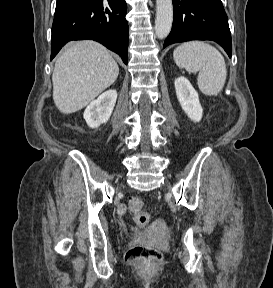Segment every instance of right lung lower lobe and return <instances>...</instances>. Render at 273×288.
<instances>
[{
  "mask_svg": "<svg viewBox=\"0 0 273 288\" xmlns=\"http://www.w3.org/2000/svg\"><path fill=\"white\" fill-rule=\"evenodd\" d=\"M126 12L125 0H57L51 60L68 41L91 39L119 54L127 64Z\"/></svg>",
  "mask_w": 273,
  "mask_h": 288,
  "instance_id": "right-lung-lower-lobe-1",
  "label": "right lung lower lobe"
}]
</instances>
